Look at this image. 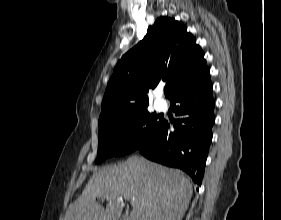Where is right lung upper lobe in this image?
I'll list each match as a JSON object with an SVG mask.
<instances>
[{
	"label": "right lung upper lobe",
	"instance_id": "1",
	"mask_svg": "<svg viewBox=\"0 0 281 220\" xmlns=\"http://www.w3.org/2000/svg\"><path fill=\"white\" fill-rule=\"evenodd\" d=\"M208 80L209 68L193 35L181 22L160 17L115 66L103 97L99 125L147 108V93L161 81L169 85L171 99Z\"/></svg>",
	"mask_w": 281,
	"mask_h": 220
}]
</instances>
